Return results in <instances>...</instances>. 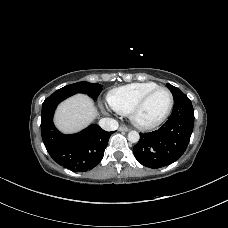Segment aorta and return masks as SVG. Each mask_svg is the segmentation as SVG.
Segmentation results:
<instances>
[{
  "label": "aorta",
  "instance_id": "1",
  "mask_svg": "<svg viewBox=\"0 0 228 228\" xmlns=\"http://www.w3.org/2000/svg\"><path fill=\"white\" fill-rule=\"evenodd\" d=\"M140 139L139 133L137 131H130L128 133V140L132 143H137Z\"/></svg>",
  "mask_w": 228,
  "mask_h": 228
}]
</instances>
